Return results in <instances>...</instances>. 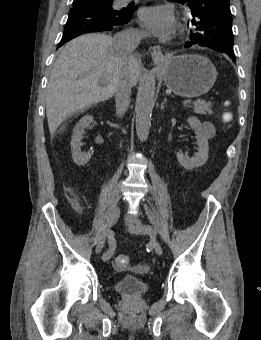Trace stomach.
<instances>
[{"label":"stomach","instance_id":"stomach-1","mask_svg":"<svg viewBox=\"0 0 261 340\" xmlns=\"http://www.w3.org/2000/svg\"><path fill=\"white\" fill-rule=\"evenodd\" d=\"M165 85L181 97H199L214 85L217 71L212 62L201 55H180L158 63Z\"/></svg>","mask_w":261,"mask_h":340}]
</instances>
